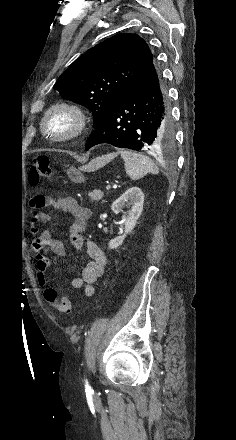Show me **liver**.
Wrapping results in <instances>:
<instances>
[{
	"label": "liver",
	"instance_id": "liver-1",
	"mask_svg": "<svg viewBox=\"0 0 236 440\" xmlns=\"http://www.w3.org/2000/svg\"><path fill=\"white\" fill-rule=\"evenodd\" d=\"M112 159L111 156H103L100 158L95 159L96 161H99V167L104 166L107 162H109ZM86 168V167H85Z\"/></svg>",
	"mask_w": 236,
	"mask_h": 440
}]
</instances>
